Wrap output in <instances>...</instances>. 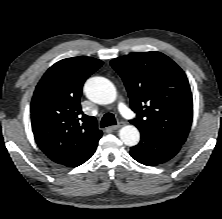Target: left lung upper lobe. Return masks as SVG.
<instances>
[{"instance_id":"left-lung-upper-lobe-1","label":"left lung upper lobe","mask_w":222,"mask_h":219,"mask_svg":"<svg viewBox=\"0 0 222 219\" xmlns=\"http://www.w3.org/2000/svg\"><path fill=\"white\" fill-rule=\"evenodd\" d=\"M122 77L131 109L130 120L140 131H147L182 145L189 133L193 102L185 73L160 52L132 53L111 61Z\"/></svg>"}]
</instances>
